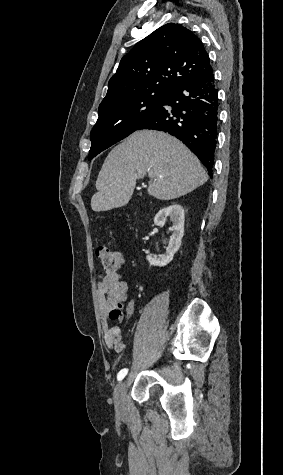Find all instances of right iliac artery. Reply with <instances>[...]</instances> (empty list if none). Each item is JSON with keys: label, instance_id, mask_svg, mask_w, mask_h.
Masks as SVG:
<instances>
[{"label": "right iliac artery", "instance_id": "82829eb1", "mask_svg": "<svg viewBox=\"0 0 283 475\" xmlns=\"http://www.w3.org/2000/svg\"><path fill=\"white\" fill-rule=\"evenodd\" d=\"M127 372H128V369L126 368L122 369L117 375L118 381L122 380L127 375Z\"/></svg>", "mask_w": 283, "mask_h": 475}]
</instances>
